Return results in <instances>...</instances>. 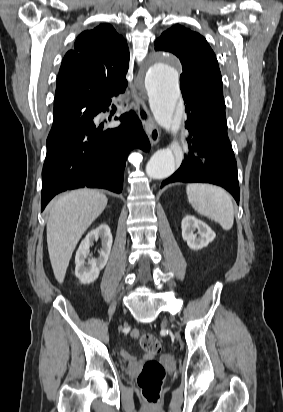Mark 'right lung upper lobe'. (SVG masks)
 <instances>
[{
	"instance_id": "obj_1",
	"label": "right lung upper lobe",
	"mask_w": 283,
	"mask_h": 412,
	"mask_svg": "<svg viewBox=\"0 0 283 412\" xmlns=\"http://www.w3.org/2000/svg\"><path fill=\"white\" fill-rule=\"evenodd\" d=\"M129 49L109 24L82 32L65 55L54 99V114L88 103L101 93H122L127 86Z\"/></svg>"
}]
</instances>
